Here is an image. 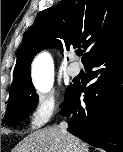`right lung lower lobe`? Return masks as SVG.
Here are the masks:
<instances>
[{
	"mask_svg": "<svg viewBox=\"0 0 123 152\" xmlns=\"http://www.w3.org/2000/svg\"><path fill=\"white\" fill-rule=\"evenodd\" d=\"M84 67L92 84L86 89L74 86L61 114L70 116L69 131L74 136L108 152H123V37L92 56Z\"/></svg>",
	"mask_w": 123,
	"mask_h": 152,
	"instance_id": "1",
	"label": "right lung lower lobe"
}]
</instances>
